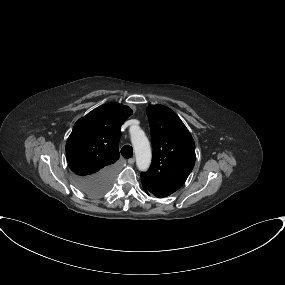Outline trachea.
Segmentation results:
<instances>
[{
	"label": "trachea",
	"mask_w": 285,
	"mask_h": 285,
	"mask_svg": "<svg viewBox=\"0 0 285 285\" xmlns=\"http://www.w3.org/2000/svg\"><path fill=\"white\" fill-rule=\"evenodd\" d=\"M121 154L125 158H131L133 155V148L130 145H125L121 149Z\"/></svg>",
	"instance_id": "3493384b"
}]
</instances>
